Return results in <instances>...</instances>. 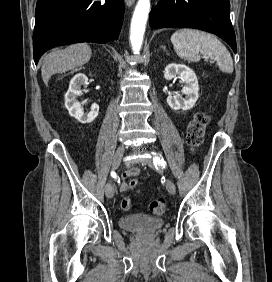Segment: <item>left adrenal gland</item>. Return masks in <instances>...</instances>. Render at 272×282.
<instances>
[{
  "label": "left adrenal gland",
  "instance_id": "left-adrenal-gland-1",
  "mask_svg": "<svg viewBox=\"0 0 272 282\" xmlns=\"http://www.w3.org/2000/svg\"><path fill=\"white\" fill-rule=\"evenodd\" d=\"M164 52H166V54L168 55V51L166 50V47L165 46H161L160 47Z\"/></svg>",
  "mask_w": 272,
  "mask_h": 282
}]
</instances>
